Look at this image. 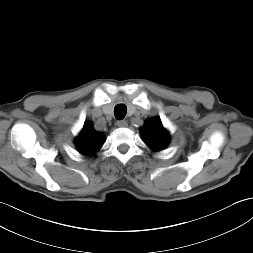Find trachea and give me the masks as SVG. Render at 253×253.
Instances as JSON below:
<instances>
[{
    "instance_id": "obj_1",
    "label": "trachea",
    "mask_w": 253,
    "mask_h": 253,
    "mask_svg": "<svg viewBox=\"0 0 253 253\" xmlns=\"http://www.w3.org/2000/svg\"><path fill=\"white\" fill-rule=\"evenodd\" d=\"M127 112V107L124 104H118L114 108V115L116 119L122 120L124 119Z\"/></svg>"
}]
</instances>
